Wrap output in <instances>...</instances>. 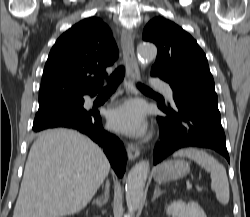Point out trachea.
Wrapping results in <instances>:
<instances>
[{"label":"trachea","instance_id":"obj_1","mask_svg":"<svg viewBox=\"0 0 250 217\" xmlns=\"http://www.w3.org/2000/svg\"><path fill=\"white\" fill-rule=\"evenodd\" d=\"M125 76V68L124 66H119L115 72L110 76L108 79V85L105 86L101 91L102 92H114L118 85L121 83ZM137 87L141 90H148L150 91V88L142 85V84H137Z\"/></svg>","mask_w":250,"mask_h":217}]
</instances>
